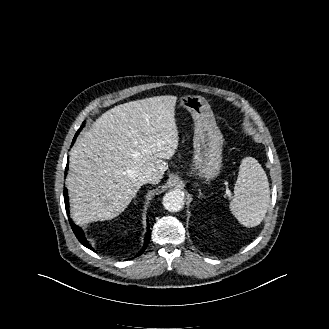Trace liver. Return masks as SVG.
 Segmentation results:
<instances>
[{
  "label": "liver",
  "instance_id": "obj_1",
  "mask_svg": "<svg viewBox=\"0 0 329 329\" xmlns=\"http://www.w3.org/2000/svg\"><path fill=\"white\" fill-rule=\"evenodd\" d=\"M177 97L154 96L120 104L96 119L70 152L66 179L71 212L78 223L117 217L151 171L157 184L176 152Z\"/></svg>",
  "mask_w": 329,
  "mask_h": 329
}]
</instances>
